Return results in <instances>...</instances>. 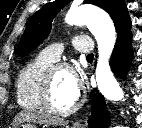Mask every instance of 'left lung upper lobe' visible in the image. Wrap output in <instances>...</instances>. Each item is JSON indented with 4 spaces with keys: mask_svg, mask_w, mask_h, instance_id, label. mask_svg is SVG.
I'll list each match as a JSON object with an SVG mask.
<instances>
[{
    "mask_svg": "<svg viewBox=\"0 0 142 128\" xmlns=\"http://www.w3.org/2000/svg\"><path fill=\"white\" fill-rule=\"evenodd\" d=\"M71 0H56L45 4L30 18L25 32L16 50V54L24 56L33 51L50 33L55 15ZM104 9L112 18L118 32L130 24V16L123 0H84Z\"/></svg>",
    "mask_w": 142,
    "mask_h": 128,
    "instance_id": "1",
    "label": "left lung upper lobe"
}]
</instances>
